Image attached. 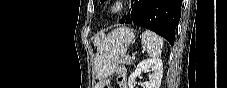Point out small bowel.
<instances>
[{
    "label": "small bowel",
    "instance_id": "c3829d8e",
    "mask_svg": "<svg viewBox=\"0 0 227 88\" xmlns=\"http://www.w3.org/2000/svg\"><path fill=\"white\" fill-rule=\"evenodd\" d=\"M117 73H118V77H117L118 87L129 88L126 68L124 66L117 67ZM103 84L106 85L107 88L109 87L108 80H106Z\"/></svg>",
    "mask_w": 227,
    "mask_h": 88
}]
</instances>
